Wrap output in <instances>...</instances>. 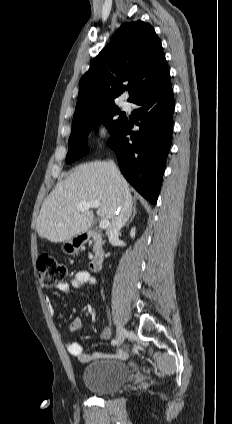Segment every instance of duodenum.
I'll return each instance as SVG.
<instances>
[{
	"mask_svg": "<svg viewBox=\"0 0 232 424\" xmlns=\"http://www.w3.org/2000/svg\"><path fill=\"white\" fill-rule=\"evenodd\" d=\"M83 237L85 241L92 239H95L96 241L93 257L90 261L89 267L92 272H98L101 269L105 258V249L101 241V234L96 231H90L86 232Z\"/></svg>",
	"mask_w": 232,
	"mask_h": 424,
	"instance_id": "1",
	"label": "duodenum"
}]
</instances>
